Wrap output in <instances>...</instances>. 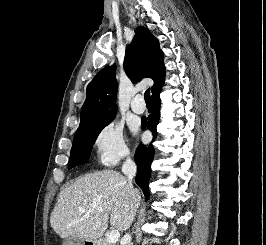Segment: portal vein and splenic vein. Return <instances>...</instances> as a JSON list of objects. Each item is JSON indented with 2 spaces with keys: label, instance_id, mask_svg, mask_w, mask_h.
Segmentation results:
<instances>
[{
  "label": "portal vein and splenic vein",
  "instance_id": "18ae733b",
  "mask_svg": "<svg viewBox=\"0 0 266 245\" xmlns=\"http://www.w3.org/2000/svg\"><path fill=\"white\" fill-rule=\"evenodd\" d=\"M97 211H102V209H97ZM81 213H85L84 209H83V211H81ZM119 237H120L119 231H111V233H109L106 241H107V243H117Z\"/></svg>",
  "mask_w": 266,
  "mask_h": 245
}]
</instances>
